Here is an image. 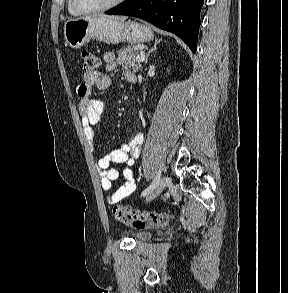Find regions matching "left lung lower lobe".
I'll list each match as a JSON object with an SVG mask.
<instances>
[{
	"mask_svg": "<svg viewBox=\"0 0 288 293\" xmlns=\"http://www.w3.org/2000/svg\"><path fill=\"white\" fill-rule=\"evenodd\" d=\"M203 2L204 0H125L105 14L127 15L148 21L176 34L195 53Z\"/></svg>",
	"mask_w": 288,
	"mask_h": 293,
	"instance_id": "1",
	"label": "left lung lower lobe"
}]
</instances>
